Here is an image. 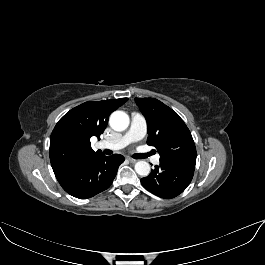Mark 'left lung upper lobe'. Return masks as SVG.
Returning a JSON list of instances; mask_svg holds the SVG:
<instances>
[{
    "instance_id": "1",
    "label": "left lung upper lobe",
    "mask_w": 265,
    "mask_h": 265,
    "mask_svg": "<svg viewBox=\"0 0 265 265\" xmlns=\"http://www.w3.org/2000/svg\"><path fill=\"white\" fill-rule=\"evenodd\" d=\"M147 121V144L154 146L160 161L196 160L192 135L170 107L155 98H135Z\"/></svg>"
}]
</instances>
